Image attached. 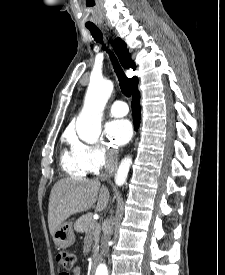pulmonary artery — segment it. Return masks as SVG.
I'll return each instance as SVG.
<instances>
[{"label":"pulmonary artery","instance_id":"pulmonary-artery-1","mask_svg":"<svg viewBox=\"0 0 225 275\" xmlns=\"http://www.w3.org/2000/svg\"><path fill=\"white\" fill-rule=\"evenodd\" d=\"M109 112L112 116H125L128 113V106L123 101H115L112 105H110Z\"/></svg>","mask_w":225,"mask_h":275}]
</instances>
